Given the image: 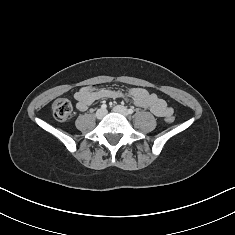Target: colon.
Segmentation results:
<instances>
[{"instance_id": "5ec220e1", "label": "colon", "mask_w": 235, "mask_h": 235, "mask_svg": "<svg viewBox=\"0 0 235 235\" xmlns=\"http://www.w3.org/2000/svg\"><path fill=\"white\" fill-rule=\"evenodd\" d=\"M72 110H73L72 104L66 98H58L54 101L52 105L53 115L59 121H64L68 119L72 113ZM166 121L168 123H172L174 121V116L168 115L166 117Z\"/></svg>"}]
</instances>
